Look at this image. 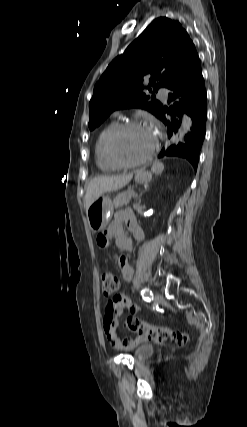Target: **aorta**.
<instances>
[{"label": "aorta", "mask_w": 247, "mask_h": 427, "mask_svg": "<svg viewBox=\"0 0 247 427\" xmlns=\"http://www.w3.org/2000/svg\"><path fill=\"white\" fill-rule=\"evenodd\" d=\"M191 126H192V122H191L190 119L183 120V122H182V128H181L180 132L177 134V137H176V143L183 141L184 135L188 131H190Z\"/></svg>", "instance_id": "aorta-1"}]
</instances>
